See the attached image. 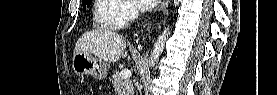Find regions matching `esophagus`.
<instances>
[{
  "mask_svg": "<svg viewBox=\"0 0 277 95\" xmlns=\"http://www.w3.org/2000/svg\"><path fill=\"white\" fill-rule=\"evenodd\" d=\"M169 4V0H163L161 5H160V9L161 10H166Z\"/></svg>",
  "mask_w": 277,
  "mask_h": 95,
  "instance_id": "esophagus-1",
  "label": "esophagus"
}]
</instances>
